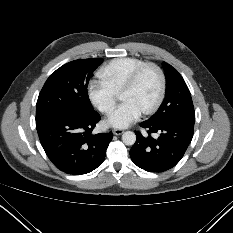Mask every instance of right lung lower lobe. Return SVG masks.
Wrapping results in <instances>:
<instances>
[{
    "label": "right lung lower lobe",
    "instance_id": "right-lung-lower-lobe-1",
    "mask_svg": "<svg viewBox=\"0 0 233 233\" xmlns=\"http://www.w3.org/2000/svg\"><path fill=\"white\" fill-rule=\"evenodd\" d=\"M100 120L96 111L86 114H52L36 120L41 145L61 171L86 174L104 161L113 133L92 134Z\"/></svg>",
    "mask_w": 233,
    "mask_h": 233
}]
</instances>
